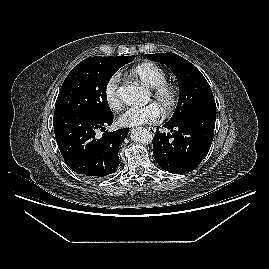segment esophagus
Listing matches in <instances>:
<instances>
[{
  "instance_id": "34e87169",
  "label": "esophagus",
  "mask_w": 269,
  "mask_h": 269,
  "mask_svg": "<svg viewBox=\"0 0 269 269\" xmlns=\"http://www.w3.org/2000/svg\"><path fill=\"white\" fill-rule=\"evenodd\" d=\"M147 130H148L150 133H155V129H154V128L149 127V128H147Z\"/></svg>"
}]
</instances>
